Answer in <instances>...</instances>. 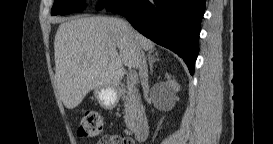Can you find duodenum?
Returning <instances> with one entry per match:
<instances>
[{
  "label": "duodenum",
  "mask_w": 273,
  "mask_h": 144,
  "mask_svg": "<svg viewBox=\"0 0 273 144\" xmlns=\"http://www.w3.org/2000/svg\"><path fill=\"white\" fill-rule=\"evenodd\" d=\"M135 139L139 142L145 141L149 134V122L146 116L141 115L133 126Z\"/></svg>",
  "instance_id": "410a0bca"
}]
</instances>
